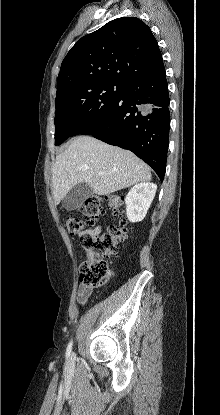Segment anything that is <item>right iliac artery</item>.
Returning a JSON list of instances; mask_svg holds the SVG:
<instances>
[{
    "instance_id": "obj_1",
    "label": "right iliac artery",
    "mask_w": 220,
    "mask_h": 415,
    "mask_svg": "<svg viewBox=\"0 0 220 415\" xmlns=\"http://www.w3.org/2000/svg\"><path fill=\"white\" fill-rule=\"evenodd\" d=\"M72 344L73 341L71 340L67 346V350H66V357L68 358L70 356L71 350H72Z\"/></svg>"
}]
</instances>
